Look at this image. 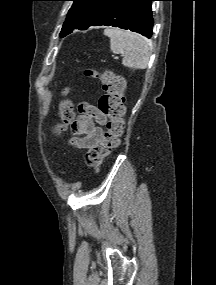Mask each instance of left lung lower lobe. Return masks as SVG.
<instances>
[{
  "instance_id": "0a47b994",
  "label": "left lung lower lobe",
  "mask_w": 216,
  "mask_h": 285,
  "mask_svg": "<svg viewBox=\"0 0 216 285\" xmlns=\"http://www.w3.org/2000/svg\"><path fill=\"white\" fill-rule=\"evenodd\" d=\"M152 1L156 0H114L97 16L89 27H119L150 38L153 27Z\"/></svg>"
}]
</instances>
